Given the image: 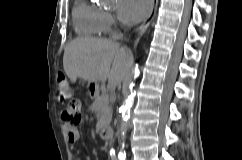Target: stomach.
<instances>
[{"instance_id":"1","label":"stomach","mask_w":242,"mask_h":160,"mask_svg":"<svg viewBox=\"0 0 242 160\" xmlns=\"http://www.w3.org/2000/svg\"><path fill=\"white\" fill-rule=\"evenodd\" d=\"M88 87L90 89V94L97 95L99 92V84L97 82H88Z\"/></svg>"}]
</instances>
